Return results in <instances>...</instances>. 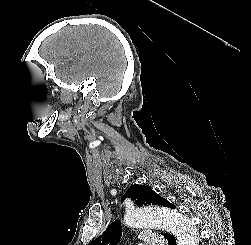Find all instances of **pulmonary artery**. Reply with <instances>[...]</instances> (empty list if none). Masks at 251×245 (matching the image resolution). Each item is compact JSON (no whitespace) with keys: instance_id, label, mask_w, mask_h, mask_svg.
Masks as SVG:
<instances>
[{"instance_id":"pulmonary-artery-1","label":"pulmonary artery","mask_w":251,"mask_h":245,"mask_svg":"<svg viewBox=\"0 0 251 245\" xmlns=\"http://www.w3.org/2000/svg\"><path fill=\"white\" fill-rule=\"evenodd\" d=\"M145 245H164L163 237L157 235H145Z\"/></svg>"}]
</instances>
